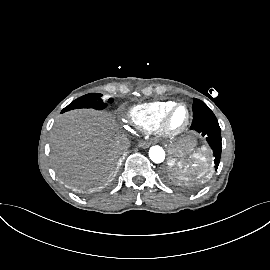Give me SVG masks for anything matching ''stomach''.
<instances>
[{"label": "stomach", "mask_w": 270, "mask_h": 270, "mask_svg": "<svg viewBox=\"0 0 270 270\" xmlns=\"http://www.w3.org/2000/svg\"><path fill=\"white\" fill-rule=\"evenodd\" d=\"M196 140L192 135H187L169 145L168 166L174 175L183 178L189 171L182 164L185 157L194 150Z\"/></svg>", "instance_id": "stomach-1"}]
</instances>
